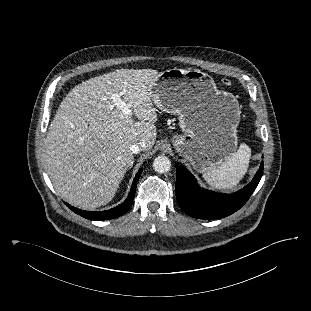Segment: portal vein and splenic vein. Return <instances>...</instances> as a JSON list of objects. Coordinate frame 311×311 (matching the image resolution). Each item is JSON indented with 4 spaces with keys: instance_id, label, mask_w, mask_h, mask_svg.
<instances>
[{
    "instance_id": "obj_1",
    "label": "portal vein and splenic vein",
    "mask_w": 311,
    "mask_h": 311,
    "mask_svg": "<svg viewBox=\"0 0 311 311\" xmlns=\"http://www.w3.org/2000/svg\"><path fill=\"white\" fill-rule=\"evenodd\" d=\"M112 99L115 105L119 107L125 115H132L131 104L124 102L119 94H114Z\"/></svg>"
}]
</instances>
